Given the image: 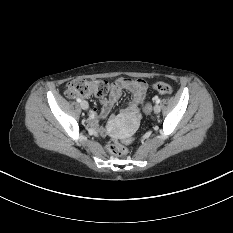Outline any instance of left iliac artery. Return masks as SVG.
<instances>
[{"mask_svg":"<svg viewBox=\"0 0 233 233\" xmlns=\"http://www.w3.org/2000/svg\"><path fill=\"white\" fill-rule=\"evenodd\" d=\"M160 101H161L160 99H158V98L156 99V103L157 104L160 103Z\"/></svg>","mask_w":233,"mask_h":233,"instance_id":"left-iliac-artery-1","label":"left iliac artery"}]
</instances>
